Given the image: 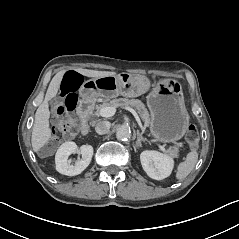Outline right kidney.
Instances as JSON below:
<instances>
[{
	"mask_svg": "<svg viewBox=\"0 0 239 239\" xmlns=\"http://www.w3.org/2000/svg\"><path fill=\"white\" fill-rule=\"evenodd\" d=\"M79 152L82 158L77 160L74 165L70 164L68 157L72 153ZM93 156V147L91 145H82L78 150L75 142L68 141L63 143L55 155L56 170L67 176L80 174L90 164Z\"/></svg>",
	"mask_w": 239,
	"mask_h": 239,
	"instance_id": "obj_1",
	"label": "right kidney"
}]
</instances>
